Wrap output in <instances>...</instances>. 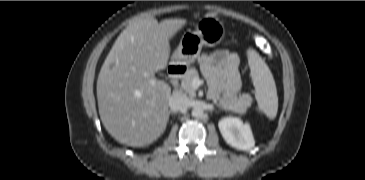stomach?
<instances>
[{"label": "stomach", "instance_id": "stomach-1", "mask_svg": "<svg viewBox=\"0 0 365 180\" xmlns=\"http://www.w3.org/2000/svg\"><path fill=\"white\" fill-rule=\"evenodd\" d=\"M195 28V31L183 34L171 56V65L190 66L200 55L203 46H216L225 37V27L218 19L203 17L198 20Z\"/></svg>", "mask_w": 365, "mask_h": 180}]
</instances>
